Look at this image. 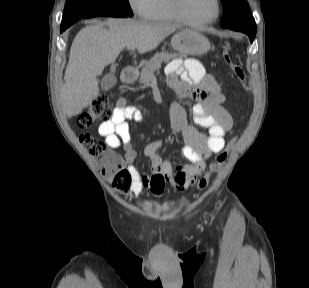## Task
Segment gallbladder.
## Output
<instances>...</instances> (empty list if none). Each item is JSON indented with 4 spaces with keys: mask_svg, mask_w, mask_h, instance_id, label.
Wrapping results in <instances>:
<instances>
[{
    "mask_svg": "<svg viewBox=\"0 0 309 288\" xmlns=\"http://www.w3.org/2000/svg\"><path fill=\"white\" fill-rule=\"evenodd\" d=\"M117 82V78L114 74V71H111L109 74H106L101 80V89L102 90H110L115 86Z\"/></svg>",
    "mask_w": 309,
    "mask_h": 288,
    "instance_id": "obj_1",
    "label": "gallbladder"
}]
</instances>
